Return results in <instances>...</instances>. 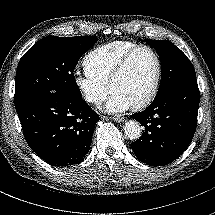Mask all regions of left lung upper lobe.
Returning a JSON list of instances; mask_svg holds the SVG:
<instances>
[{
	"instance_id": "obj_1",
	"label": "left lung upper lobe",
	"mask_w": 215,
	"mask_h": 215,
	"mask_svg": "<svg viewBox=\"0 0 215 215\" xmlns=\"http://www.w3.org/2000/svg\"><path fill=\"white\" fill-rule=\"evenodd\" d=\"M159 55L161 82L157 95L189 79L196 78L195 70L187 56L168 40L145 39Z\"/></svg>"
}]
</instances>
